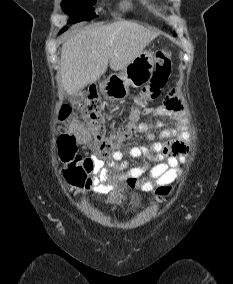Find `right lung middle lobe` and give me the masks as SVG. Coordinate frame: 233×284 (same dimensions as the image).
<instances>
[{
  "label": "right lung middle lobe",
  "mask_w": 233,
  "mask_h": 284,
  "mask_svg": "<svg viewBox=\"0 0 233 284\" xmlns=\"http://www.w3.org/2000/svg\"><path fill=\"white\" fill-rule=\"evenodd\" d=\"M95 0H64L61 5L64 12L70 15L69 22L89 21L95 17L93 5ZM67 30L64 27L60 33Z\"/></svg>",
  "instance_id": "obj_1"
}]
</instances>
